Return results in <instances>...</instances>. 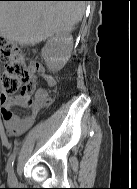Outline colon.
I'll return each instance as SVG.
<instances>
[{
	"label": "colon",
	"mask_w": 137,
	"mask_h": 189,
	"mask_svg": "<svg viewBox=\"0 0 137 189\" xmlns=\"http://www.w3.org/2000/svg\"><path fill=\"white\" fill-rule=\"evenodd\" d=\"M0 60L5 62L0 75V103L18 94L26 96V104L35 108L32 70L39 65L38 61L25 58L16 45L3 35H0Z\"/></svg>",
	"instance_id": "colon-1"
}]
</instances>
